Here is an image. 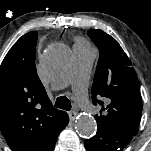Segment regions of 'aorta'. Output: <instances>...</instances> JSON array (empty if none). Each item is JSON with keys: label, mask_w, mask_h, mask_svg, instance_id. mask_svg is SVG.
Returning <instances> with one entry per match:
<instances>
[{"label": "aorta", "mask_w": 151, "mask_h": 151, "mask_svg": "<svg viewBox=\"0 0 151 151\" xmlns=\"http://www.w3.org/2000/svg\"><path fill=\"white\" fill-rule=\"evenodd\" d=\"M44 58L51 67L59 68L70 61L71 53L66 46L55 44L45 51ZM76 129L83 137H89L96 132L97 124L91 116L81 115L76 121Z\"/></svg>", "instance_id": "obj_1"}]
</instances>
